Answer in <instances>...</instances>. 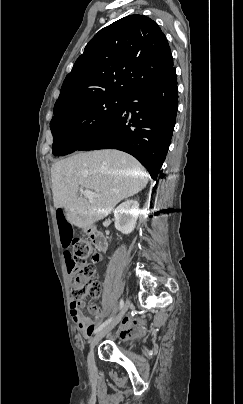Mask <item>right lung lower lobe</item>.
I'll use <instances>...</instances> for the list:
<instances>
[{"mask_svg":"<svg viewBox=\"0 0 243 404\" xmlns=\"http://www.w3.org/2000/svg\"><path fill=\"white\" fill-rule=\"evenodd\" d=\"M177 109L173 67L162 78L126 96L109 123L77 150H122L137 158L153 179L161 178L160 168L171 143Z\"/></svg>","mask_w":243,"mask_h":404,"instance_id":"98d812e1","label":"right lung lower lobe"}]
</instances>
